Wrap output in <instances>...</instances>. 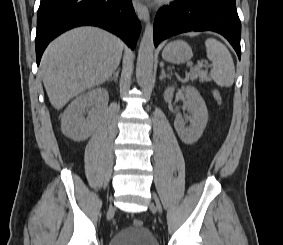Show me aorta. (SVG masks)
<instances>
[{
  "mask_svg": "<svg viewBox=\"0 0 283 245\" xmlns=\"http://www.w3.org/2000/svg\"><path fill=\"white\" fill-rule=\"evenodd\" d=\"M154 56L153 26L148 24L143 33L138 51L136 77L140 86H144L152 77Z\"/></svg>",
  "mask_w": 283,
  "mask_h": 245,
  "instance_id": "obj_1",
  "label": "aorta"
}]
</instances>
